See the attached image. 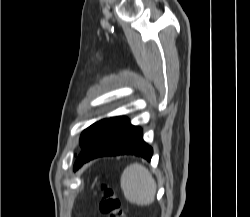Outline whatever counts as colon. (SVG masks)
Returning <instances> with one entry per match:
<instances>
[{"mask_svg": "<svg viewBox=\"0 0 250 217\" xmlns=\"http://www.w3.org/2000/svg\"><path fill=\"white\" fill-rule=\"evenodd\" d=\"M99 210L106 217L127 216V210L116 191L105 184L99 186Z\"/></svg>", "mask_w": 250, "mask_h": 217, "instance_id": "colon-1", "label": "colon"}]
</instances>
